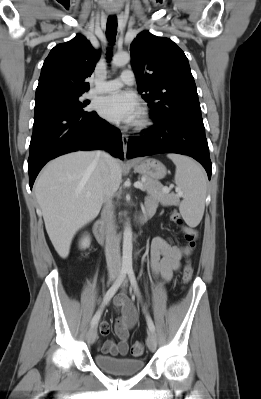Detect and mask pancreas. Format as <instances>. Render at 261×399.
<instances>
[{"label": "pancreas", "instance_id": "obj_1", "mask_svg": "<svg viewBox=\"0 0 261 399\" xmlns=\"http://www.w3.org/2000/svg\"><path fill=\"white\" fill-rule=\"evenodd\" d=\"M142 184V190L147 191L148 194L156 197L162 204L170 205L176 203L177 196L164 191V188L159 181L145 177Z\"/></svg>", "mask_w": 261, "mask_h": 399}]
</instances>
